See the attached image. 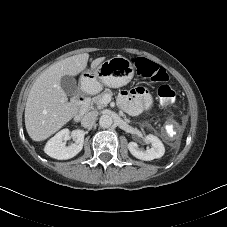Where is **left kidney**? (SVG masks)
<instances>
[{
    "instance_id": "obj_1",
    "label": "left kidney",
    "mask_w": 227,
    "mask_h": 227,
    "mask_svg": "<svg viewBox=\"0 0 227 227\" xmlns=\"http://www.w3.org/2000/svg\"><path fill=\"white\" fill-rule=\"evenodd\" d=\"M145 140L151 143V148L141 150L136 142H130L128 144V149L134 157L140 160L150 161L153 159L161 158L164 155L165 148L158 137L152 134H148L145 136Z\"/></svg>"
}]
</instances>
